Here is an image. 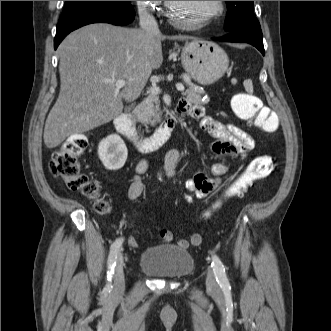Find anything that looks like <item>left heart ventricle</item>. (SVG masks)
Returning a JSON list of instances; mask_svg holds the SVG:
<instances>
[{"mask_svg":"<svg viewBox=\"0 0 331 331\" xmlns=\"http://www.w3.org/2000/svg\"><path fill=\"white\" fill-rule=\"evenodd\" d=\"M173 16L181 22L195 23L216 9V1H172Z\"/></svg>","mask_w":331,"mask_h":331,"instance_id":"left-heart-ventricle-1","label":"left heart ventricle"}]
</instances>
